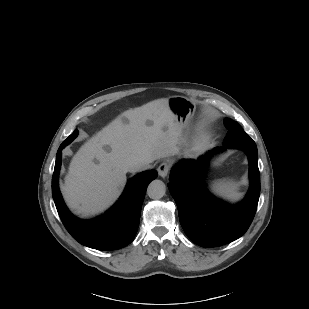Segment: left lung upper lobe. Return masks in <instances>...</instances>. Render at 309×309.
Instances as JSON below:
<instances>
[{"instance_id":"obj_1","label":"left lung upper lobe","mask_w":309,"mask_h":309,"mask_svg":"<svg viewBox=\"0 0 309 309\" xmlns=\"http://www.w3.org/2000/svg\"><path fill=\"white\" fill-rule=\"evenodd\" d=\"M224 124L228 129L227 136L224 139V144L251 139V137L241 128V126L233 120L225 118Z\"/></svg>"}]
</instances>
